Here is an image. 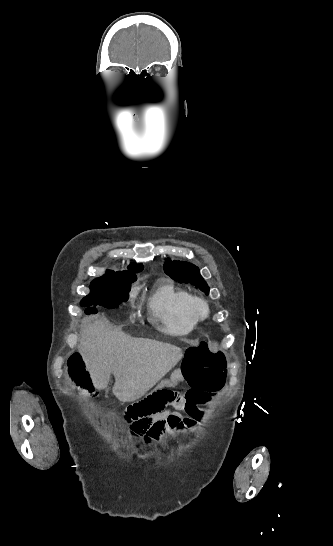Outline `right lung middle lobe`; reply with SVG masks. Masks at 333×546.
<instances>
[{
    "label": "right lung middle lobe",
    "instance_id": "obj_1",
    "mask_svg": "<svg viewBox=\"0 0 333 546\" xmlns=\"http://www.w3.org/2000/svg\"><path fill=\"white\" fill-rule=\"evenodd\" d=\"M136 279L135 273L127 274L120 271H107L105 276L96 278L91 282L90 293L82 299L81 306L103 305L107 308L118 307L120 302L127 300L131 283L136 281ZM92 308H87L86 313H91L89 311Z\"/></svg>",
    "mask_w": 333,
    "mask_h": 546
}]
</instances>
